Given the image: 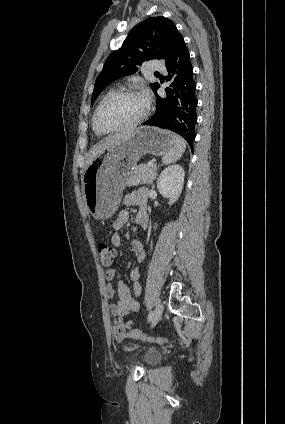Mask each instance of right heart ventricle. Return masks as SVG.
<instances>
[{
	"instance_id": "obj_1",
	"label": "right heart ventricle",
	"mask_w": 285,
	"mask_h": 424,
	"mask_svg": "<svg viewBox=\"0 0 285 424\" xmlns=\"http://www.w3.org/2000/svg\"><path fill=\"white\" fill-rule=\"evenodd\" d=\"M113 92V90H110V91H108L104 96H103V98L101 99V101L106 97V96H108L109 94H111ZM100 101V102H101ZM99 102V103H100ZM93 130H94V132H95V134L97 135V136H102V135H104V134H100V133H98V132H96L95 131V129L93 128Z\"/></svg>"
}]
</instances>
